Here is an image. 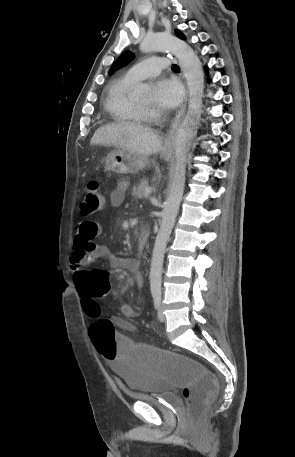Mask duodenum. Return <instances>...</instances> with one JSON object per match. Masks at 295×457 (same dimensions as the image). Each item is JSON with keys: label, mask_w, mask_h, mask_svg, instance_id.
Listing matches in <instances>:
<instances>
[{"label": "duodenum", "mask_w": 295, "mask_h": 457, "mask_svg": "<svg viewBox=\"0 0 295 457\" xmlns=\"http://www.w3.org/2000/svg\"><path fill=\"white\" fill-rule=\"evenodd\" d=\"M148 237H149V232L147 229H143L141 232H140V235H139V243H138V246H139V249L140 250H143L144 247L146 246L147 244V241H148Z\"/></svg>", "instance_id": "obj_1"}]
</instances>
